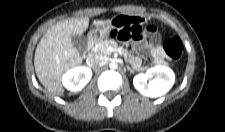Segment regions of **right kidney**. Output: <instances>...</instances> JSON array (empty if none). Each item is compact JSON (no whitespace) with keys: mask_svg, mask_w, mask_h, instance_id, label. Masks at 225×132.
Segmentation results:
<instances>
[{"mask_svg":"<svg viewBox=\"0 0 225 132\" xmlns=\"http://www.w3.org/2000/svg\"><path fill=\"white\" fill-rule=\"evenodd\" d=\"M92 77V70L85 66L75 67L64 74L62 83L70 91L77 92L86 86Z\"/></svg>","mask_w":225,"mask_h":132,"instance_id":"ca27d5eb","label":"right kidney"}]
</instances>
